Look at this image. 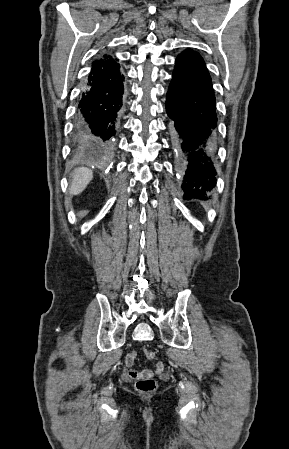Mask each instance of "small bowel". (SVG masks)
<instances>
[{
	"label": "small bowel",
	"instance_id": "obj_1",
	"mask_svg": "<svg viewBox=\"0 0 289 449\" xmlns=\"http://www.w3.org/2000/svg\"><path fill=\"white\" fill-rule=\"evenodd\" d=\"M137 353L132 351L128 353L125 357V363L127 366V376L132 379H137L142 376H152L153 374H160L164 370V365L161 362H158L154 369H144V370H136L133 368L134 362L136 360Z\"/></svg>",
	"mask_w": 289,
	"mask_h": 449
}]
</instances>
